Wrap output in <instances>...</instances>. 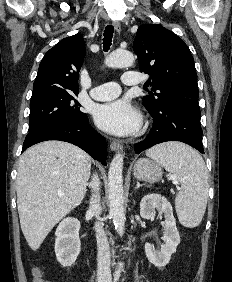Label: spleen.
Here are the masks:
<instances>
[{
	"label": "spleen",
	"mask_w": 232,
	"mask_h": 282,
	"mask_svg": "<svg viewBox=\"0 0 232 282\" xmlns=\"http://www.w3.org/2000/svg\"><path fill=\"white\" fill-rule=\"evenodd\" d=\"M167 171L174 174L181 184L175 199L180 223L196 227L204 216L208 198V171L202 157L192 148L177 142L164 143L146 151Z\"/></svg>",
	"instance_id": "spleen-1"
}]
</instances>
